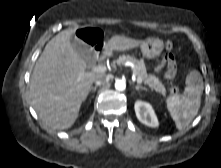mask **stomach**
I'll use <instances>...</instances> for the list:
<instances>
[{
    "instance_id": "stomach-1",
    "label": "stomach",
    "mask_w": 221,
    "mask_h": 168,
    "mask_svg": "<svg viewBox=\"0 0 221 168\" xmlns=\"http://www.w3.org/2000/svg\"><path fill=\"white\" fill-rule=\"evenodd\" d=\"M163 41L159 38H148L140 44L143 57L146 59H154L160 56L163 51Z\"/></svg>"
}]
</instances>
